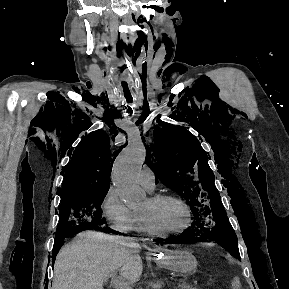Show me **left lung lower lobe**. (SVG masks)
I'll use <instances>...</instances> for the list:
<instances>
[{
	"instance_id": "left-lung-lower-lobe-1",
	"label": "left lung lower lobe",
	"mask_w": 289,
	"mask_h": 289,
	"mask_svg": "<svg viewBox=\"0 0 289 289\" xmlns=\"http://www.w3.org/2000/svg\"><path fill=\"white\" fill-rule=\"evenodd\" d=\"M207 238L215 240L212 231H209L208 228L205 229L191 228L190 230L187 229L183 234L177 237L168 238L165 241L169 244H189L194 243L199 239H207Z\"/></svg>"
}]
</instances>
